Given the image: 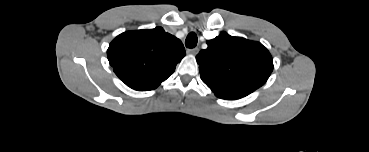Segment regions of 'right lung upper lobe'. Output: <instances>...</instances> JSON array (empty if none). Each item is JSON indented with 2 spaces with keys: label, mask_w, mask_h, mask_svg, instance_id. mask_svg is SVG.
Instances as JSON below:
<instances>
[{
  "label": "right lung upper lobe",
  "mask_w": 369,
  "mask_h": 152,
  "mask_svg": "<svg viewBox=\"0 0 369 152\" xmlns=\"http://www.w3.org/2000/svg\"><path fill=\"white\" fill-rule=\"evenodd\" d=\"M115 74L130 88H157L185 56L182 42L163 28L127 31L118 35L107 50Z\"/></svg>",
  "instance_id": "1"
}]
</instances>
